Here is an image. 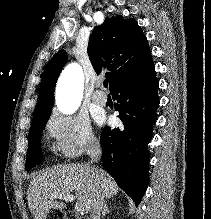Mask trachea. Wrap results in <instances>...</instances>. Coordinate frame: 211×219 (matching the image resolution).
Here are the masks:
<instances>
[{"label":"trachea","instance_id":"3493384b","mask_svg":"<svg viewBox=\"0 0 211 219\" xmlns=\"http://www.w3.org/2000/svg\"><path fill=\"white\" fill-rule=\"evenodd\" d=\"M103 85H104L105 88H107V87H108V81L105 80V81L103 82Z\"/></svg>","mask_w":211,"mask_h":219}]
</instances>
